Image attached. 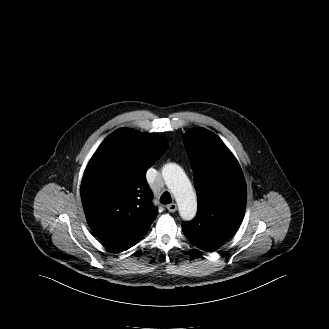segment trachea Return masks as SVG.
I'll use <instances>...</instances> for the list:
<instances>
[{
	"label": "trachea",
	"instance_id": "1",
	"mask_svg": "<svg viewBox=\"0 0 329 329\" xmlns=\"http://www.w3.org/2000/svg\"><path fill=\"white\" fill-rule=\"evenodd\" d=\"M161 204H170L172 202V198L169 192H164L160 197Z\"/></svg>",
	"mask_w": 329,
	"mask_h": 329
}]
</instances>
